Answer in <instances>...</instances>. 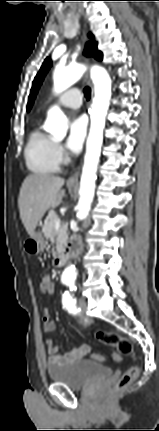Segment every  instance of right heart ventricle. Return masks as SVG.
Listing matches in <instances>:
<instances>
[{
	"label": "right heart ventricle",
	"mask_w": 159,
	"mask_h": 431,
	"mask_svg": "<svg viewBox=\"0 0 159 431\" xmlns=\"http://www.w3.org/2000/svg\"><path fill=\"white\" fill-rule=\"evenodd\" d=\"M24 157L27 168L33 173L47 175L59 170L55 143L38 128L29 133Z\"/></svg>",
	"instance_id": "right-heart-ventricle-1"
}]
</instances>
